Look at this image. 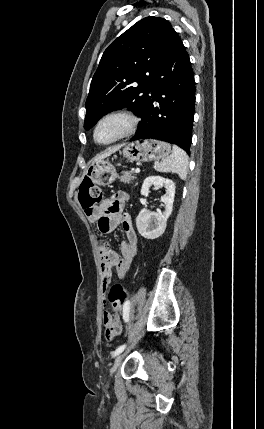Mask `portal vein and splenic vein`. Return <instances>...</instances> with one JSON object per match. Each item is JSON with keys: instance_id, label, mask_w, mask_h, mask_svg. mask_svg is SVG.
I'll list each match as a JSON object with an SVG mask.
<instances>
[{"instance_id": "obj_1", "label": "portal vein and splenic vein", "mask_w": 264, "mask_h": 429, "mask_svg": "<svg viewBox=\"0 0 264 429\" xmlns=\"http://www.w3.org/2000/svg\"><path fill=\"white\" fill-rule=\"evenodd\" d=\"M135 173H136V174L140 173V168H136V169H135Z\"/></svg>"}]
</instances>
